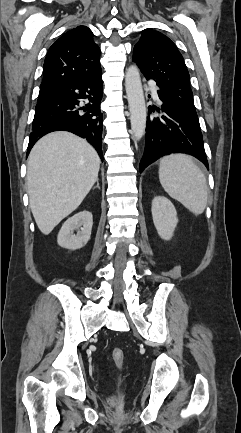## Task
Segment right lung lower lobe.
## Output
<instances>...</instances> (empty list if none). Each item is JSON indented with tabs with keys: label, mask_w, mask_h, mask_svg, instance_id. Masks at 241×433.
Listing matches in <instances>:
<instances>
[{
	"label": "right lung lower lobe",
	"mask_w": 241,
	"mask_h": 433,
	"mask_svg": "<svg viewBox=\"0 0 241 433\" xmlns=\"http://www.w3.org/2000/svg\"><path fill=\"white\" fill-rule=\"evenodd\" d=\"M102 94L101 72L87 79L65 83L47 93L36 105L27 155L42 136L65 130L86 138L103 160V116L100 111ZM82 99H88L90 103L79 107Z\"/></svg>",
	"instance_id": "obj_1"
}]
</instances>
